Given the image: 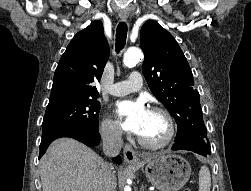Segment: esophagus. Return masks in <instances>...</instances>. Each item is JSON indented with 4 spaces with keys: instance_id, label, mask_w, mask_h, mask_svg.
Listing matches in <instances>:
<instances>
[{
    "instance_id": "1",
    "label": "esophagus",
    "mask_w": 251,
    "mask_h": 191,
    "mask_svg": "<svg viewBox=\"0 0 251 191\" xmlns=\"http://www.w3.org/2000/svg\"><path fill=\"white\" fill-rule=\"evenodd\" d=\"M129 16L127 11H120L119 17L122 21H125ZM123 154L125 161L129 164V166H136L139 162V158L136 155L133 147L126 143L123 148Z\"/></svg>"
}]
</instances>
